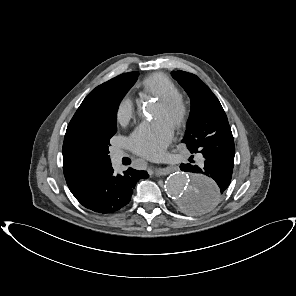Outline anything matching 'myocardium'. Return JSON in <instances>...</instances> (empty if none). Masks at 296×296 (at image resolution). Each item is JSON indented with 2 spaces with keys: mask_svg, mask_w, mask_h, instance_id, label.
Instances as JSON below:
<instances>
[{
  "mask_svg": "<svg viewBox=\"0 0 296 296\" xmlns=\"http://www.w3.org/2000/svg\"><path fill=\"white\" fill-rule=\"evenodd\" d=\"M159 103L170 113L174 128H180L186 123L189 116V105L181 95L161 97Z\"/></svg>",
  "mask_w": 296,
  "mask_h": 296,
  "instance_id": "1",
  "label": "myocardium"
}]
</instances>
